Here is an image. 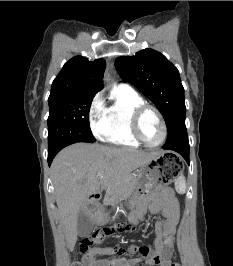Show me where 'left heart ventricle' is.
<instances>
[{"label":"left heart ventricle","instance_id":"b2bd125f","mask_svg":"<svg viewBox=\"0 0 233 266\" xmlns=\"http://www.w3.org/2000/svg\"><path fill=\"white\" fill-rule=\"evenodd\" d=\"M140 131L144 140L150 144L158 143L162 138V126L157 115L151 111H146L140 122Z\"/></svg>","mask_w":233,"mask_h":266}]
</instances>
